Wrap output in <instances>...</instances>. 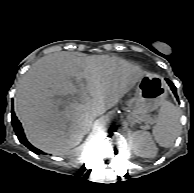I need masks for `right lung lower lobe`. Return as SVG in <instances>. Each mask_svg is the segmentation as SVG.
Wrapping results in <instances>:
<instances>
[{"instance_id":"obj_1","label":"right lung lower lobe","mask_w":194,"mask_h":193,"mask_svg":"<svg viewBox=\"0 0 194 193\" xmlns=\"http://www.w3.org/2000/svg\"><path fill=\"white\" fill-rule=\"evenodd\" d=\"M12 124L15 130V133L18 137V139L20 140V142L22 144H24L26 147H28L32 152L36 153V154H41L42 151H40L39 149L35 148L34 146H32L26 139L23 129L21 127V123L18 121L17 117L14 114V111L12 109Z\"/></svg>"}]
</instances>
